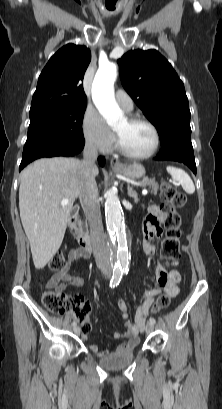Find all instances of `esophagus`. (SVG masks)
<instances>
[{
  "instance_id": "34e87169",
  "label": "esophagus",
  "mask_w": 222,
  "mask_h": 409,
  "mask_svg": "<svg viewBox=\"0 0 222 409\" xmlns=\"http://www.w3.org/2000/svg\"><path fill=\"white\" fill-rule=\"evenodd\" d=\"M110 165L113 168H119L121 167V162L118 158L114 157L110 160Z\"/></svg>"
}]
</instances>
